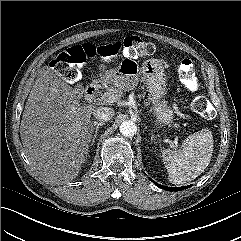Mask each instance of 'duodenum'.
<instances>
[{
    "instance_id": "duodenum-1",
    "label": "duodenum",
    "mask_w": 241,
    "mask_h": 241,
    "mask_svg": "<svg viewBox=\"0 0 241 241\" xmlns=\"http://www.w3.org/2000/svg\"><path fill=\"white\" fill-rule=\"evenodd\" d=\"M101 87V81L95 80L89 84L85 89V97L87 100H91L97 94L99 88Z\"/></svg>"
}]
</instances>
